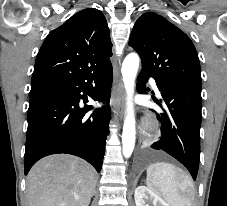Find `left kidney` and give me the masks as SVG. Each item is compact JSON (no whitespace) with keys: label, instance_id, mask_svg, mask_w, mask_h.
<instances>
[{"label":"left kidney","instance_id":"1","mask_svg":"<svg viewBox=\"0 0 227 206\" xmlns=\"http://www.w3.org/2000/svg\"><path fill=\"white\" fill-rule=\"evenodd\" d=\"M135 204L136 206H149V201H152L153 206H169L161 197L146 186L140 185L135 189Z\"/></svg>","mask_w":227,"mask_h":206}]
</instances>
